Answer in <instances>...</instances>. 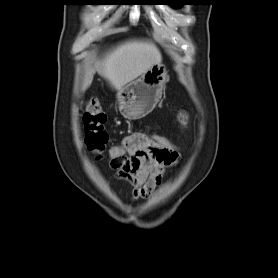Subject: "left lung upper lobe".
Segmentation results:
<instances>
[{"mask_svg":"<svg viewBox=\"0 0 278 278\" xmlns=\"http://www.w3.org/2000/svg\"><path fill=\"white\" fill-rule=\"evenodd\" d=\"M170 5L173 6V7H180L181 6V4H178V3H171Z\"/></svg>","mask_w":278,"mask_h":278,"instance_id":"5c2ea615","label":"left lung upper lobe"}]
</instances>
